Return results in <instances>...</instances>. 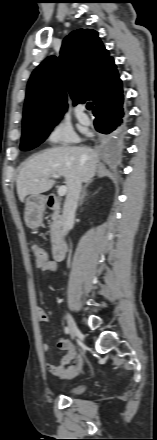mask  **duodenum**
I'll return each instance as SVG.
<instances>
[{"label": "duodenum", "mask_w": 157, "mask_h": 440, "mask_svg": "<svg viewBox=\"0 0 157 440\" xmlns=\"http://www.w3.org/2000/svg\"><path fill=\"white\" fill-rule=\"evenodd\" d=\"M60 201L57 198H53L49 201V206L56 208L60 206ZM67 251V243L65 241H55L52 247V255L56 261H61L64 259Z\"/></svg>", "instance_id": "obj_1"}]
</instances>
